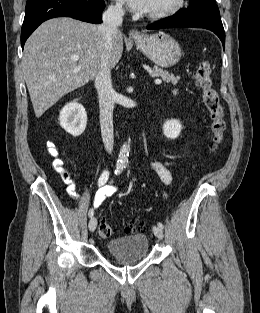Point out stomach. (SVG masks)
<instances>
[{"instance_id": "obj_1", "label": "stomach", "mask_w": 260, "mask_h": 313, "mask_svg": "<svg viewBox=\"0 0 260 313\" xmlns=\"http://www.w3.org/2000/svg\"><path fill=\"white\" fill-rule=\"evenodd\" d=\"M135 44L151 61L162 68L174 66L182 56L178 42L164 32L142 35L135 39Z\"/></svg>"}]
</instances>
